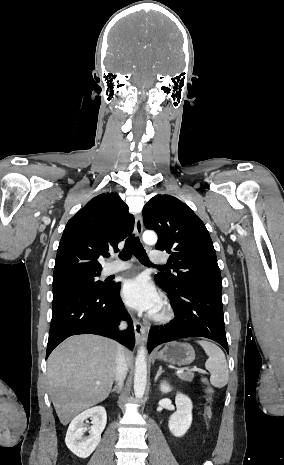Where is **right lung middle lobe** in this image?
I'll use <instances>...</instances> for the list:
<instances>
[{
  "label": "right lung middle lobe",
  "mask_w": 284,
  "mask_h": 465,
  "mask_svg": "<svg viewBox=\"0 0 284 465\" xmlns=\"http://www.w3.org/2000/svg\"><path fill=\"white\" fill-rule=\"evenodd\" d=\"M99 276L100 273L82 274L53 280V299L72 291L105 290L109 288L110 284L98 280Z\"/></svg>",
  "instance_id": "dd1d6c3e"
}]
</instances>
